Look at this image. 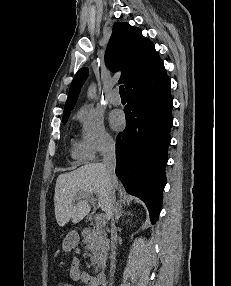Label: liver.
<instances>
[{"label": "liver", "mask_w": 231, "mask_h": 286, "mask_svg": "<svg viewBox=\"0 0 231 286\" xmlns=\"http://www.w3.org/2000/svg\"><path fill=\"white\" fill-rule=\"evenodd\" d=\"M115 189L122 198L123 191L117 181ZM96 195L97 208L103 209L106 217L110 203V185L102 163L86 164L76 170L60 174L56 181L54 206L55 217L59 226L63 227L70 220L78 223L89 212L90 205L85 196ZM77 201L76 204L74 202ZM122 201V200H121Z\"/></svg>", "instance_id": "liver-1"}]
</instances>
